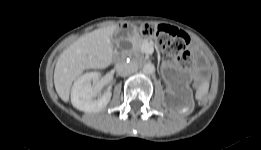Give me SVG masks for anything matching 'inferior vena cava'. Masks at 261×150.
<instances>
[{
    "mask_svg": "<svg viewBox=\"0 0 261 150\" xmlns=\"http://www.w3.org/2000/svg\"><path fill=\"white\" fill-rule=\"evenodd\" d=\"M117 72L120 76H127L137 71L138 66L133 63L120 62L117 64Z\"/></svg>",
    "mask_w": 261,
    "mask_h": 150,
    "instance_id": "1",
    "label": "inferior vena cava"
}]
</instances>
